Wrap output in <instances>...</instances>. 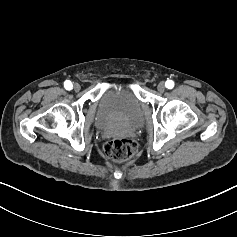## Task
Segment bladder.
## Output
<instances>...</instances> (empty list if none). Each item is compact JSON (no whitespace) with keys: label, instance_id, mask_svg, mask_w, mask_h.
I'll list each match as a JSON object with an SVG mask.
<instances>
[{"label":"bladder","instance_id":"31cf9c89","mask_svg":"<svg viewBox=\"0 0 237 237\" xmlns=\"http://www.w3.org/2000/svg\"><path fill=\"white\" fill-rule=\"evenodd\" d=\"M144 117V104L128 85L107 89L98 102L96 124L108 126H138Z\"/></svg>","mask_w":237,"mask_h":237}]
</instances>
